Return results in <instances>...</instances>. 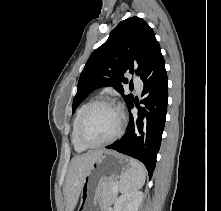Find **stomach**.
Segmentation results:
<instances>
[{"label": "stomach", "mask_w": 221, "mask_h": 211, "mask_svg": "<svg viewBox=\"0 0 221 211\" xmlns=\"http://www.w3.org/2000/svg\"><path fill=\"white\" fill-rule=\"evenodd\" d=\"M129 169V160L122 154L105 151L99 155L84 177L78 211H99L102 209L100 190L103 184L121 178Z\"/></svg>", "instance_id": "1"}]
</instances>
